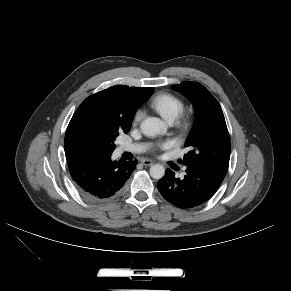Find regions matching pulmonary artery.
I'll return each mask as SVG.
<instances>
[{"instance_id": "1", "label": "pulmonary artery", "mask_w": 291, "mask_h": 291, "mask_svg": "<svg viewBox=\"0 0 291 291\" xmlns=\"http://www.w3.org/2000/svg\"><path fill=\"white\" fill-rule=\"evenodd\" d=\"M171 123V122H170ZM146 149L144 144H123L120 147L121 152H143Z\"/></svg>"}]
</instances>
